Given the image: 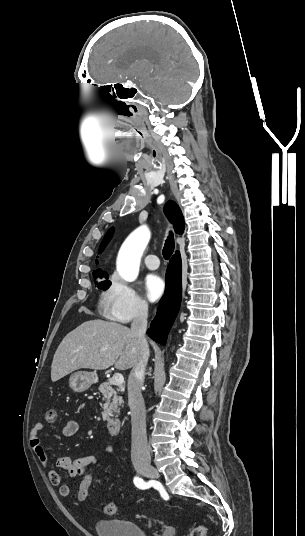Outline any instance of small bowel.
I'll return each mask as SVG.
<instances>
[{
	"instance_id": "c3829d8e",
	"label": "small bowel",
	"mask_w": 305,
	"mask_h": 536,
	"mask_svg": "<svg viewBox=\"0 0 305 536\" xmlns=\"http://www.w3.org/2000/svg\"><path fill=\"white\" fill-rule=\"evenodd\" d=\"M43 427H32L30 431V445L40 463L46 468V473L50 483L54 486H59L60 495L67 497L72 492V486L69 484H61L59 470H62L68 474L80 487L86 478V471L96 464V458L92 455H87L79 458H72L68 456L59 457L55 461V467L49 466L48 457L41 444L40 433ZM79 430V424L77 421L71 420L62 430V434L65 437H71ZM111 447L105 448V453L111 452Z\"/></svg>"
}]
</instances>
